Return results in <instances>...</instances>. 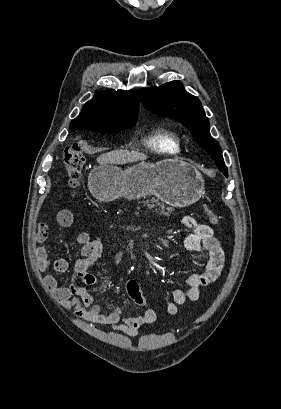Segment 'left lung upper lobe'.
<instances>
[{
  "label": "left lung upper lobe",
  "instance_id": "5c2ea615",
  "mask_svg": "<svg viewBox=\"0 0 281 409\" xmlns=\"http://www.w3.org/2000/svg\"><path fill=\"white\" fill-rule=\"evenodd\" d=\"M140 98L151 112L182 122L200 146L210 154L218 169L228 176L221 149L210 135L209 120L204 109L197 97L185 91L181 82L172 81L159 87L142 88Z\"/></svg>",
  "mask_w": 281,
  "mask_h": 409
}]
</instances>
